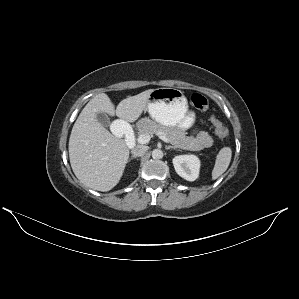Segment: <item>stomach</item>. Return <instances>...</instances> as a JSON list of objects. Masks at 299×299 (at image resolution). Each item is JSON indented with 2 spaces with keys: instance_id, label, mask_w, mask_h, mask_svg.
<instances>
[{
  "instance_id": "stomach-1",
  "label": "stomach",
  "mask_w": 299,
  "mask_h": 299,
  "mask_svg": "<svg viewBox=\"0 0 299 299\" xmlns=\"http://www.w3.org/2000/svg\"><path fill=\"white\" fill-rule=\"evenodd\" d=\"M150 117L157 123L189 129L194 123V114L188 111V101L184 93L176 88L154 89L147 102Z\"/></svg>"
}]
</instances>
